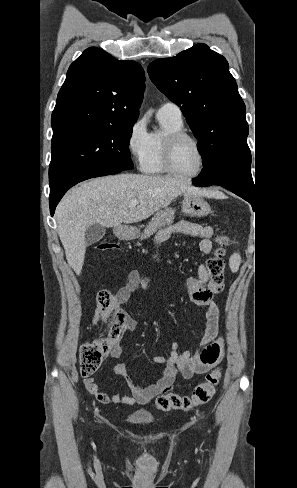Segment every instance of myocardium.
Listing matches in <instances>:
<instances>
[{
	"mask_svg": "<svg viewBox=\"0 0 297 488\" xmlns=\"http://www.w3.org/2000/svg\"><path fill=\"white\" fill-rule=\"evenodd\" d=\"M185 140L193 142L198 149L200 155L198 168L190 174L180 173L174 165L175 150L177 146ZM162 163L166 172H168L169 174L181 179H192L199 176L203 172L206 164V152L203 148V145L196 137L182 130L179 132L171 133L164 138L162 149Z\"/></svg>",
	"mask_w": 297,
	"mask_h": 488,
	"instance_id": "1",
	"label": "myocardium"
}]
</instances>
